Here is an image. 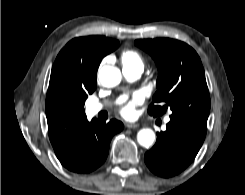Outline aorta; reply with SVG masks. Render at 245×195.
<instances>
[{
	"mask_svg": "<svg viewBox=\"0 0 245 195\" xmlns=\"http://www.w3.org/2000/svg\"><path fill=\"white\" fill-rule=\"evenodd\" d=\"M98 76L101 84L108 88L117 86L122 79L119 68L108 65L100 69ZM154 140L155 133L149 128L141 129L137 134L138 143L145 148H149L154 143Z\"/></svg>",
	"mask_w": 245,
	"mask_h": 195,
	"instance_id": "762f6f07",
	"label": "aorta"
}]
</instances>
